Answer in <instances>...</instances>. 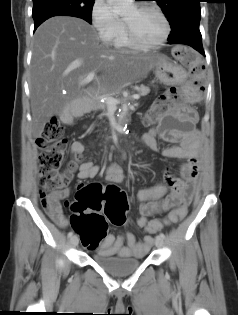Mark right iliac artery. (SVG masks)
<instances>
[{
    "label": "right iliac artery",
    "instance_id": "82829eb1",
    "mask_svg": "<svg viewBox=\"0 0 238 315\" xmlns=\"http://www.w3.org/2000/svg\"><path fill=\"white\" fill-rule=\"evenodd\" d=\"M72 235H73V232L70 231V232L68 233V237L70 238V237H72Z\"/></svg>",
    "mask_w": 238,
    "mask_h": 315
}]
</instances>
